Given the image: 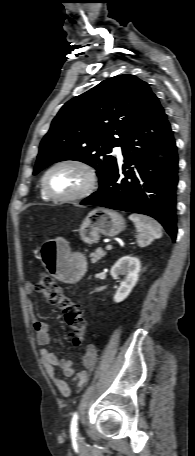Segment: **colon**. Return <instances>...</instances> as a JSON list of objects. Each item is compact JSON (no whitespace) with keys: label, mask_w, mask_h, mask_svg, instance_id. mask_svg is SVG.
Instances as JSON below:
<instances>
[{"label":"colon","mask_w":195,"mask_h":456,"mask_svg":"<svg viewBox=\"0 0 195 456\" xmlns=\"http://www.w3.org/2000/svg\"><path fill=\"white\" fill-rule=\"evenodd\" d=\"M39 292L49 303L56 305L62 312L65 322L72 331L74 344L79 346L83 340L86 322L82 310L67 296L49 276H42L35 284Z\"/></svg>","instance_id":"5ec220e1"}]
</instances>
